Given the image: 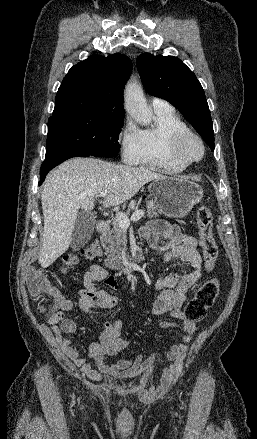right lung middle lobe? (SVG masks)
Returning a JSON list of instances; mask_svg holds the SVG:
<instances>
[{
  "label": "right lung middle lobe",
  "instance_id": "dd1d6c3e",
  "mask_svg": "<svg viewBox=\"0 0 257 439\" xmlns=\"http://www.w3.org/2000/svg\"><path fill=\"white\" fill-rule=\"evenodd\" d=\"M124 114L74 111L50 117L45 160L66 155L113 157Z\"/></svg>",
  "mask_w": 257,
  "mask_h": 439
}]
</instances>
